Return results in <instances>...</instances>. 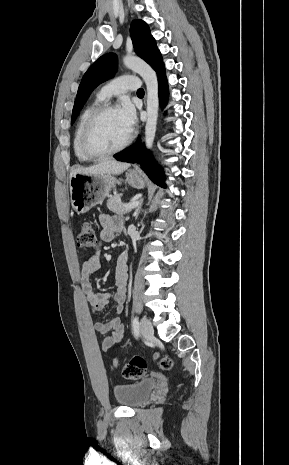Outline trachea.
Instances as JSON below:
<instances>
[{
  "label": "trachea",
  "mask_w": 289,
  "mask_h": 465,
  "mask_svg": "<svg viewBox=\"0 0 289 465\" xmlns=\"http://www.w3.org/2000/svg\"><path fill=\"white\" fill-rule=\"evenodd\" d=\"M137 94H139V95H142V94H144V90H143L142 88H141V89H139V90L137 91Z\"/></svg>",
  "instance_id": "1"
}]
</instances>
